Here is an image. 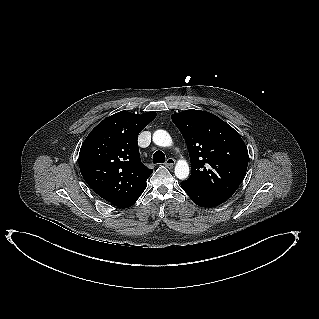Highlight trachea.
<instances>
[{
  "mask_svg": "<svg viewBox=\"0 0 319 319\" xmlns=\"http://www.w3.org/2000/svg\"><path fill=\"white\" fill-rule=\"evenodd\" d=\"M165 160H166L165 154L162 151L158 150L154 153L153 159H152L154 164L164 163Z\"/></svg>",
  "mask_w": 319,
  "mask_h": 319,
  "instance_id": "trachea-1",
  "label": "trachea"
}]
</instances>
